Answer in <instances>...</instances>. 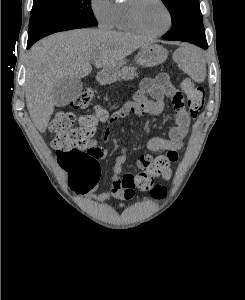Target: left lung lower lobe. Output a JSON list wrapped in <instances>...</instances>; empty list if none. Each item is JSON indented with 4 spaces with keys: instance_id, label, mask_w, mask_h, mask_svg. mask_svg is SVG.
Segmentation results:
<instances>
[{
    "instance_id": "left-lung-lower-lobe-1",
    "label": "left lung lower lobe",
    "mask_w": 245,
    "mask_h": 300,
    "mask_svg": "<svg viewBox=\"0 0 245 300\" xmlns=\"http://www.w3.org/2000/svg\"><path fill=\"white\" fill-rule=\"evenodd\" d=\"M166 40H179V41H187L190 43H193L195 45H198L204 49L207 48V42H206V37H205V32H195L192 33L188 36H183V37H168L164 38Z\"/></svg>"
}]
</instances>
